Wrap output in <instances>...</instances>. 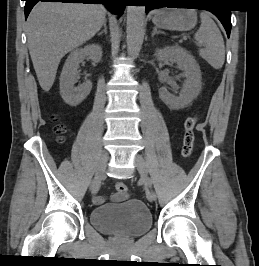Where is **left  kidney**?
<instances>
[{"label": "left kidney", "instance_id": "left-kidney-1", "mask_svg": "<svg viewBox=\"0 0 259 266\" xmlns=\"http://www.w3.org/2000/svg\"><path fill=\"white\" fill-rule=\"evenodd\" d=\"M156 56L161 61H171L184 71L186 80L179 96L168 92L166 87L159 89L160 99L172 109L187 107L201 91V70L193 57L186 49L174 45L156 50Z\"/></svg>", "mask_w": 259, "mask_h": 266}]
</instances>
